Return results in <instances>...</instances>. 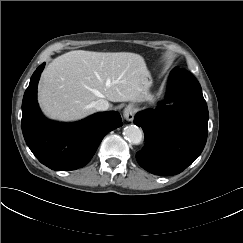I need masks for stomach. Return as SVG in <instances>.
<instances>
[{
  "label": "stomach",
  "mask_w": 243,
  "mask_h": 243,
  "mask_svg": "<svg viewBox=\"0 0 243 243\" xmlns=\"http://www.w3.org/2000/svg\"><path fill=\"white\" fill-rule=\"evenodd\" d=\"M153 84V79L152 76L150 75L149 72L145 74L144 76L141 77L140 83H139V88H140V93L138 96V99L135 100V102L139 103H153L154 97L150 92V88Z\"/></svg>",
  "instance_id": "stomach-1"
}]
</instances>
